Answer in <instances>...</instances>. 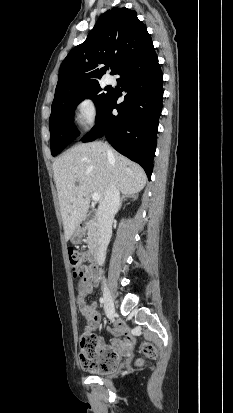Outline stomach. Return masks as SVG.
<instances>
[{"label": "stomach", "mask_w": 233, "mask_h": 413, "mask_svg": "<svg viewBox=\"0 0 233 413\" xmlns=\"http://www.w3.org/2000/svg\"><path fill=\"white\" fill-rule=\"evenodd\" d=\"M84 235H85L84 229L81 228V227H77V228L75 229V231L73 232L70 240H71V242L74 243V244H79V243L81 242V240H82V238H83Z\"/></svg>", "instance_id": "1"}]
</instances>
